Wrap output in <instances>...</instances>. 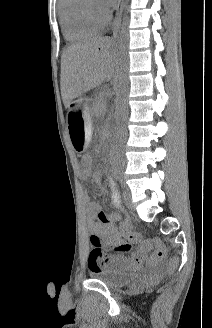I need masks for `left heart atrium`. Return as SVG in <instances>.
<instances>
[{
	"mask_svg": "<svg viewBox=\"0 0 212 328\" xmlns=\"http://www.w3.org/2000/svg\"><path fill=\"white\" fill-rule=\"evenodd\" d=\"M116 0H105V4L109 7L113 6Z\"/></svg>",
	"mask_w": 212,
	"mask_h": 328,
	"instance_id": "1",
	"label": "left heart atrium"
}]
</instances>
